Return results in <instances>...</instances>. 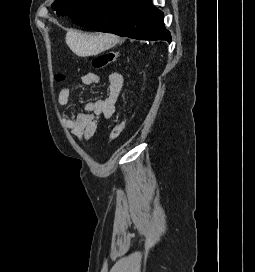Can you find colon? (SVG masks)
Masks as SVG:
<instances>
[{
    "mask_svg": "<svg viewBox=\"0 0 255 272\" xmlns=\"http://www.w3.org/2000/svg\"><path fill=\"white\" fill-rule=\"evenodd\" d=\"M118 58H119V53L115 52V51H110V52H106V53L97 55L92 60V67L97 70L104 69L109 64L116 61ZM64 78H65V76L62 74L56 75V79L58 81H62V80H64ZM124 126H125V122L120 121L112 128V130L110 131L109 136H108L109 143H112L118 139V137L121 135V133L124 129Z\"/></svg>",
    "mask_w": 255,
    "mask_h": 272,
    "instance_id": "5ec220e1",
    "label": "colon"
}]
</instances>
